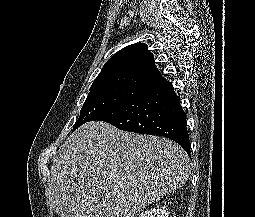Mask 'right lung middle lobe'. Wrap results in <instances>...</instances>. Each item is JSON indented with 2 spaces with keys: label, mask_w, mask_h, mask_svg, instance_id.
Masks as SVG:
<instances>
[{
  "label": "right lung middle lobe",
  "mask_w": 255,
  "mask_h": 217,
  "mask_svg": "<svg viewBox=\"0 0 255 217\" xmlns=\"http://www.w3.org/2000/svg\"><path fill=\"white\" fill-rule=\"evenodd\" d=\"M144 88L137 85H114L90 90L73 130L95 116L124 104L140 94Z\"/></svg>",
  "instance_id": "dd1d6c3e"
}]
</instances>
